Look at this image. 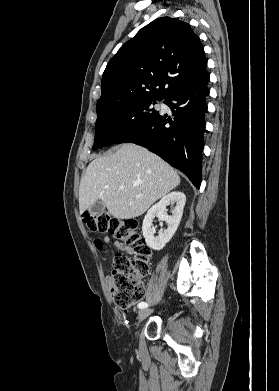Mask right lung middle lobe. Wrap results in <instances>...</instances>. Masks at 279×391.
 I'll use <instances>...</instances> for the list:
<instances>
[{
    "label": "right lung middle lobe",
    "mask_w": 279,
    "mask_h": 391,
    "mask_svg": "<svg viewBox=\"0 0 279 391\" xmlns=\"http://www.w3.org/2000/svg\"><path fill=\"white\" fill-rule=\"evenodd\" d=\"M153 99L133 101L97 114L94 149L111 145L131 129L158 115L151 108Z\"/></svg>",
    "instance_id": "obj_1"
}]
</instances>
